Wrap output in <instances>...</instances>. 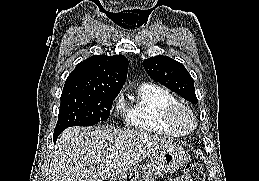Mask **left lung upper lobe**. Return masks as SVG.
<instances>
[{"mask_svg": "<svg viewBox=\"0 0 259 181\" xmlns=\"http://www.w3.org/2000/svg\"><path fill=\"white\" fill-rule=\"evenodd\" d=\"M143 66L152 79L191 103H197L193 78L180 62L167 56H155L145 59Z\"/></svg>", "mask_w": 259, "mask_h": 181, "instance_id": "5c2ea615", "label": "left lung upper lobe"}]
</instances>
